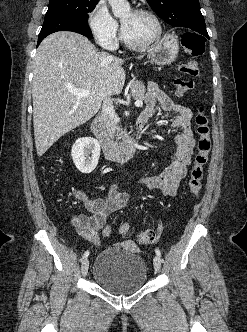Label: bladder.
<instances>
[{"label":"bladder","instance_id":"31cf9c89","mask_svg":"<svg viewBox=\"0 0 247 332\" xmlns=\"http://www.w3.org/2000/svg\"><path fill=\"white\" fill-rule=\"evenodd\" d=\"M146 263L129 243L111 245L102 250L93 266V279L105 291L128 295L142 289L147 282Z\"/></svg>","mask_w":247,"mask_h":332}]
</instances>
